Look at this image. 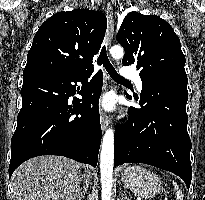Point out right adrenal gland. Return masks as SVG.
Masks as SVG:
<instances>
[{
    "label": "right adrenal gland",
    "mask_w": 205,
    "mask_h": 200,
    "mask_svg": "<svg viewBox=\"0 0 205 200\" xmlns=\"http://www.w3.org/2000/svg\"><path fill=\"white\" fill-rule=\"evenodd\" d=\"M87 191V188L84 187V191L79 195L78 200H82L85 197V192Z\"/></svg>",
    "instance_id": "2a0ac1e0"
}]
</instances>
